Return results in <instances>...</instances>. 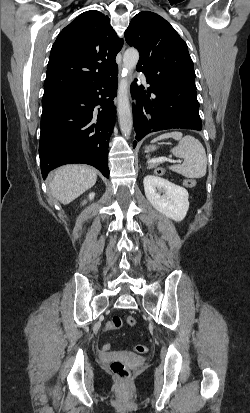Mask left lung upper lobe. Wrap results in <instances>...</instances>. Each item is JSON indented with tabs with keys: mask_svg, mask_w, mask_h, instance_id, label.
<instances>
[{
	"mask_svg": "<svg viewBox=\"0 0 250 413\" xmlns=\"http://www.w3.org/2000/svg\"><path fill=\"white\" fill-rule=\"evenodd\" d=\"M125 40L140 53L137 70L145 72L153 81L173 79L180 85L195 82L187 44L158 14L138 13L125 31Z\"/></svg>",
	"mask_w": 250,
	"mask_h": 413,
	"instance_id": "obj_1",
	"label": "left lung upper lobe"
}]
</instances>
